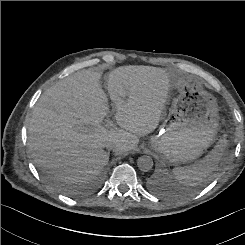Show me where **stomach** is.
Segmentation results:
<instances>
[{
	"label": "stomach",
	"mask_w": 245,
	"mask_h": 245,
	"mask_svg": "<svg viewBox=\"0 0 245 245\" xmlns=\"http://www.w3.org/2000/svg\"><path fill=\"white\" fill-rule=\"evenodd\" d=\"M179 94L151 147L172 163H189L199 158L217 139L219 109L217 99L196 79L185 76L173 80Z\"/></svg>",
	"instance_id": "obj_1"
}]
</instances>
